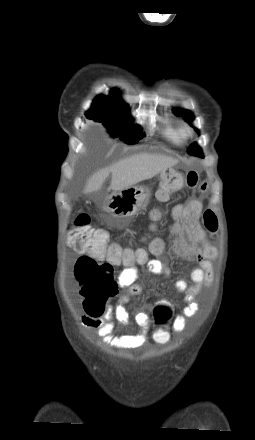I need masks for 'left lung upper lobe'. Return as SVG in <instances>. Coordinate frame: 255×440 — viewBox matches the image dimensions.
Instances as JSON below:
<instances>
[{
  "label": "left lung upper lobe",
  "mask_w": 255,
  "mask_h": 440,
  "mask_svg": "<svg viewBox=\"0 0 255 440\" xmlns=\"http://www.w3.org/2000/svg\"><path fill=\"white\" fill-rule=\"evenodd\" d=\"M173 113L177 116H182L185 119V121H187L188 123H190L194 118L192 113H190L188 110H185V109H173ZM195 131L199 132L198 129H196V128H195ZM188 153L190 155L203 158L201 148L196 143H193L189 147Z\"/></svg>",
  "instance_id": "5c2ea615"
}]
</instances>
